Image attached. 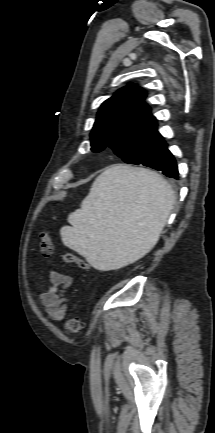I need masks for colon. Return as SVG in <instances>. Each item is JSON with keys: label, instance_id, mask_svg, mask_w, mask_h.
<instances>
[{"label": "colon", "instance_id": "colon-1", "mask_svg": "<svg viewBox=\"0 0 215 433\" xmlns=\"http://www.w3.org/2000/svg\"><path fill=\"white\" fill-rule=\"evenodd\" d=\"M40 240V253L44 258H51L54 252V245L51 234L48 231H43L39 236ZM63 259L66 263L76 264L80 268H87V263L78 257L76 254L67 252L63 255ZM83 328V323L79 318H70L66 320L64 329L68 334L79 333Z\"/></svg>", "mask_w": 215, "mask_h": 433}]
</instances>
